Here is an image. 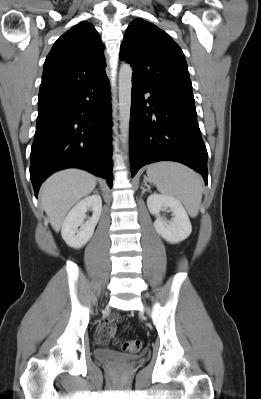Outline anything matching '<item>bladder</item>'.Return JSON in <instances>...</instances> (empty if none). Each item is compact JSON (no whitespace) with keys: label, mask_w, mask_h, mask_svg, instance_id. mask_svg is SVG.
I'll list each match as a JSON object with an SVG mask.
<instances>
[{"label":"bladder","mask_w":261,"mask_h":399,"mask_svg":"<svg viewBox=\"0 0 261 399\" xmlns=\"http://www.w3.org/2000/svg\"><path fill=\"white\" fill-rule=\"evenodd\" d=\"M94 357L100 361H133L134 355H127L110 349H95Z\"/></svg>","instance_id":"1"}]
</instances>
